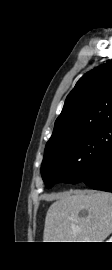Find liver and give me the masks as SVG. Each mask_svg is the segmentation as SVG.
I'll return each instance as SVG.
<instances>
[{"label":"liver","mask_w":112,"mask_h":270,"mask_svg":"<svg viewBox=\"0 0 112 270\" xmlns=\"http://www.w3.org/2000/svg\"><path fill=\"white\" fill-rule=\"evenodd\" d=\"M52 198L43 242H103L112 233V193L75 190Z\"/></svg>","instance_id":"obj_1"}]
</instances>
